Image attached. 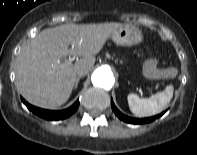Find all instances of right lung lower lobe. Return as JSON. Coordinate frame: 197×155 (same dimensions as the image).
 I'll return each instance as SVG.
<instances>
[{"instance_id": "right-lung-lower-lobe-1", "label": "right lung lower lobe", "mask_w": 197, "mask_h": 155, "mask_svg": "<svg viewBox=\"0 0 197 155\" xmlns=\"http://www.w3.org/2000/svg\"><path fill=\"white\" fill-rule=\"evenodd\" d=\"M21 100L30 111H32L34 114L38 115L39 117L47 119V120H62V119L68 118L79 107V100H77L71 107L65 110L51 111V110H44V109L32 106L29 103H27L23 98H21Z\"/></svg>"}]
</instances>
